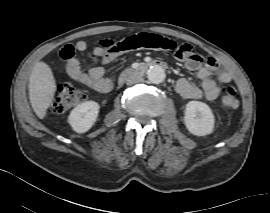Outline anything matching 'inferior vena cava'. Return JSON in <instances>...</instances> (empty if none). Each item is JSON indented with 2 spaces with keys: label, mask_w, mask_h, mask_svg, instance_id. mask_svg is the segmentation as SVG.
<instances>
[{
  "label": "inferior vena cava",
  "mask_w": 270,
  "mask_h": 213,
  "mask_svg": "<svg viewBox=\"0 0 270 213\" xmlns=\"http://www.w3.org/2000/svg\"><path fill=\"white\" fill-rule=\"evenodd\" d=\"M143 81V77L139 74L133 73L126 77L125 82L127 85H132Z\"/></svg>",
  "instance_id": "602c4592"
}]
</instances>
